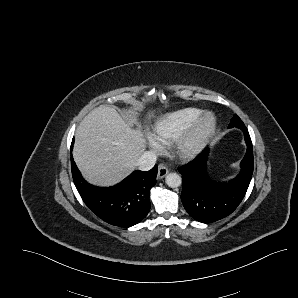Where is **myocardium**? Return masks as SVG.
I'll use <instances>...</instances> for the list:
<instances>
[{
  "instance_id": "obj_1",
  "label": "myocardium",
  "mask_w": 298,
  "mask_h": 298,
  "mask_svg": "<svg viewBox=\"0 0 298 298\" xmlns=\"http://www.w3.org/2000/svg\"><path fill=\"white\" fill-rule=\"evenodd\" d=\"M209 120L210 128L203 134L198 135L199 125ZM217 130V119L211 112H203L186 128L177 133L170 141H167L172 154L180 159H189L200 154Z\"/></svg>"
}]
</instances>
